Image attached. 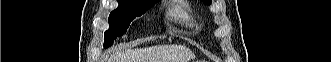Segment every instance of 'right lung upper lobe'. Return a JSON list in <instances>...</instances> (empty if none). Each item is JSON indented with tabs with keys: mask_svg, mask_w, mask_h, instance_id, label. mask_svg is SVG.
I'll list each match as a JSON object with an SVG mask.
<instances>
[{
	"mask_svg": "<svg viewBox=\"0 0 331 62\" xmlns=\"http://www.w3.org/2000/svg\"><path fill=\"white\" fill-rule=\"evenodd\" d=\"M135 1H142V2H158L159 0H135Z\"/></svg>",
	"mask_w": 331,
	"mask_h": 62,
	"instance_id": "obj_1",
	"label": "right lung upper lobe"
}]
</instances>
